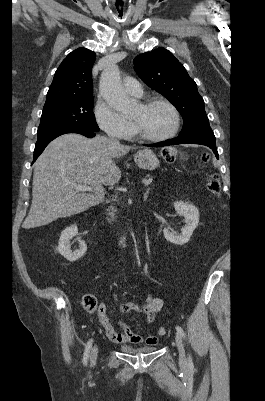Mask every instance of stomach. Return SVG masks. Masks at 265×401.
Instances as JSON below:
<instances>
[{"label":"stomach","instance_id":"1","mask_svg":"<svg viewBox=\"0 0 265 401\" xmlns=\"http://www.w3.org/2000/svg\"><path fill=\"white\" fill-rule=\"evenodd\" d=\"M134 160L137 166H140V168H146V170H154V168L159 166V160L150 148L138 150L134 156Z\"/></svg>","mask_w":265,"mask_h":401}]
</instances>
